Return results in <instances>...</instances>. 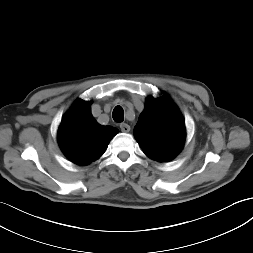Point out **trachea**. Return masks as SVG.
Wrapping results in <instances>:
<instances>
[{
	"label": "trachea",
	"instance_id": "obj_1",
	"mask_svg": "<svg viewBox=\"0 0 253 253\" xmlns=\"http://www.w3.org/2000/svg\"><path fill=\"white\" fill-rule=\"evenodd\" d=\"M113 120L115 122H122L124 120V111L121 106H116L112 113Z\"/></svg>",
	"mask_w": 253,
	"mask_h": 253
}]
</instances>
